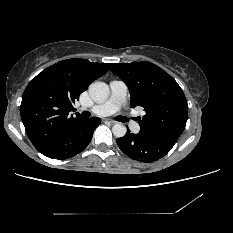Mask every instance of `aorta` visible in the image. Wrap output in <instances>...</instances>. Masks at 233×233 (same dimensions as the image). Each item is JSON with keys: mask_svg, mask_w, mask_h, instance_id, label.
Listing matches in <instances>:
<instances>
[{"mask_svg": "<svg viewBox=\"0 0 233 233\" xmlns=\"http://www.w3.org/2000/svg\"><path fill=\"white\" fill-rule=\"evenodd\" d=\"M89 95L97 103L104 102L109 96V87L104 82H93L89 86ZM112 132L114 136L120 138L125 136L127 128L122 124H115Z\"/></svg>", "mask_w": 233, "mask_h": 233, "instance_id": "obj_1", "label": "aorta"}]
</instances>
